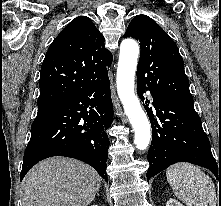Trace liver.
<instances>
[{"label":"liver","instance_id":"obj_1","mask_svg":"<svg viewBox=\"0 0 221 206\" xmlns=\"http://www.w3.org/2000/svg\"><path fill=\"white\" fill-rule=\"evenodd\" d=\"M101 177L89 165L52 157L25 176L23 206H88L101 187Z\"/></svg>","mask_w":221,"mask_h":206}]
</instances>
